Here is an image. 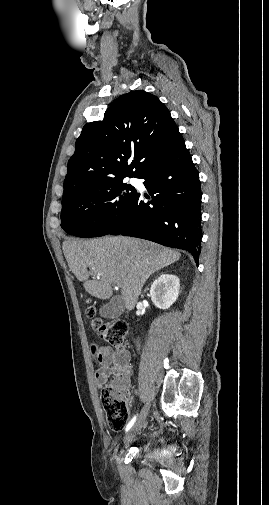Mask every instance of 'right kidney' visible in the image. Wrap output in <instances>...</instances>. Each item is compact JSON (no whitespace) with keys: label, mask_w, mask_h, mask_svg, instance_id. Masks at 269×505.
Instances as JSON below:
<instances>
[{"label":"right kidney","mask_w":269,"mask_h":505,"mask_svg":"<svg viewBox=\"0 0 269 505\" xmlns=\"http://www.w3.org/2000/svg\"><path fill=\"white\" fill-rule=\"evenodd\" d=\"M180 280L172 274H161L151 285L150 296L155 306L168 309L179 296Z\"/></svg>","instance_id":"1"}]
</instances>
